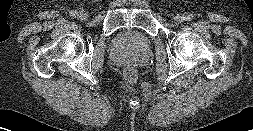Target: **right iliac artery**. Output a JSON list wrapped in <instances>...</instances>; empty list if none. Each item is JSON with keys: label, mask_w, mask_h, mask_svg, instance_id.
<instances>
[{"label": "right iliac artery", "mask_w": 253, "mask_h": 131, "mask_svg": "<svg viewBox=\"0 0 253 131\" xmlns=\"http://www.w3.org/2000/svg\"><path fill=\"white\" fill-rule=\"evenodd\" d=\"M70 16H71L72 18H76V17H78V12H77V11H71V12H70Z\"/></svg>", "instance_id": "1"}]
</instances>
